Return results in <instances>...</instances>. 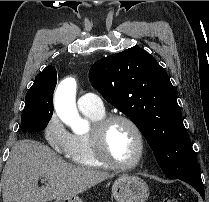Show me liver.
Segmentation results:
<instances>
[{
    "mask_svg": "<svg viewBox=\"0 0 209 202\" xmlns=\"http://www.w3.org/2000/svg\"><path fill=\"white\" fill-rule=\"evenodd\" d=\"M41 177L48 182L39 187ZM111 177L103 171L71 165L44 144L24 139L12 147L4 166L2 198L3 202H47L76 196Z\"/></svg>",
    "mask_w": 209,
    "mask_h": 202,
    "instance_id": "6515ba94",
    "label": "liver"
}]
</instances>
